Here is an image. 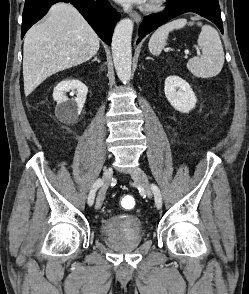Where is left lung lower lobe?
Here are the masks:
<instances>
[{
    "label": "left lung lower lobe",
    "mask_w": 249,
    "mask_h": 294,
    "mask_svg": "<svg viewBox=\"0 0 249 294\" xmlns=\"http://www.w3.org/2000/svg\"><path fill=\"white\" fill-rule=\"evenodd\" d=\"M186 12H195L212 21L223 33V24L218 0H168V7L161 13L143 19L138 31L137 43L151 31Z\"/></svg>",
    "instance_id": "left-lung-lower-lobe-1"
}]
</instances>
